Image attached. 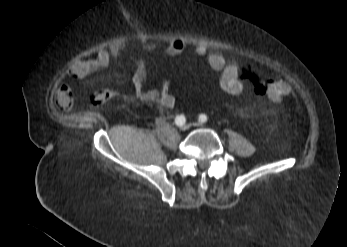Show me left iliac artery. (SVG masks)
Segmentation results:
<instances>
[{"mask_svg": "<svg viewBox=\"0 0 347 247\" xmlns=\"http://www.w3.org/2000/svg\"><path fill=\"white\" fill-rule=\"evenodd\" d=\"M208 120L207 116L205 114H201L199 116V121L202 122V123H206Z\"/></svg>", "mask_w": 347, "mask_h": 247, "instance_id": "1", "label": "left iliac artery"}]
</instances>
